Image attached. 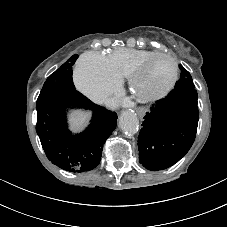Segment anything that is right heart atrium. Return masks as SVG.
Wrapping results in <instances>:
<instances>
[{
  "instance_id": "1",
  "label": "right heart atrium",
  "mask_w": 227,
  "mask_h": 227,
  "mask_svg": "<svg viewBox=\"0 0 227 227\" xmlns=\"http://www.w3.org/2000/svg\"><path fill=\"white\" fill-rule=\"evenodd\" d=\"M74 80L78 89L96 102L103 101L121 85V78L110 67L107 56L96 51L82 55L74 72Z\"/></svg>"
}]
</instances>
